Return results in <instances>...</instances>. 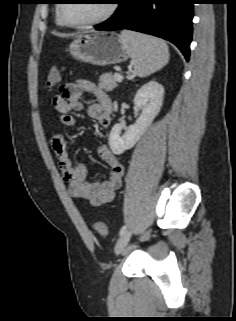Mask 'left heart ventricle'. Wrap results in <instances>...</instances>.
<instances>
[{"label": "left heart ventricle", "mask_w": 236, "mask_h": 321, "mask_svg": "<svg viewBox=\"0 0 236 321\" xmlns=\"http://www.w3.org/2000/svg\"><path fill=\"white\" fill-rule=\"evenodd\" d=\"M107 7V0H72L64 5L63 12L69 21L87 22L101 17Z\"/></svg>", "instance_id": "1"}]
</instances>
